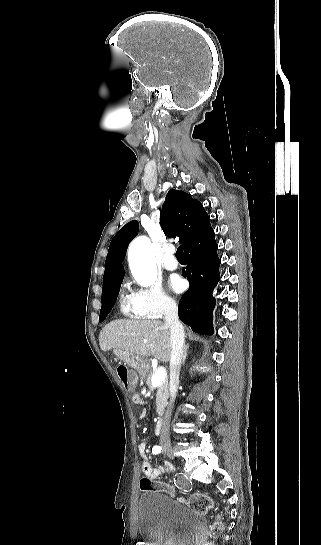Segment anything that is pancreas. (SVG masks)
<instances>
[{"label":"pancreas","instance_id":"pancreas-1","mask_svg":"<svg viewBox=\"0 0 321 545\" xmlns=\"http://www.w3.org/2000/svg\"><path fill=\"white\" fill-rule=\"evenodd\" d=\"M143 379L146 381V385L150 391H154V389H157V395H156V407H157V413L159 417L163 415V411L167 405V399L169 397V387H168V381H164L162 385H159V387H153L151 383V377H152V369L149 367L148 371L144 373V375H141Z\"/></svg>","mask_w":321,"mask_h":545}]
</instances>
